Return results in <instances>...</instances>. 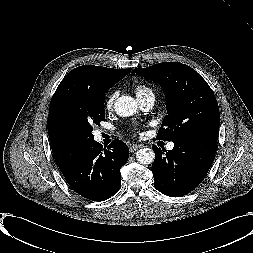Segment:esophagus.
<instances>
[{
  "label": "esophagus",
  "instance_id": "34e87169",
  "mask_svg": "<svg viewBox=\"0 0 253 253\" xmlns=\"http://www.w3.org/2000/svg\"><path fill=\"white\" fill-rule=\"evenodd\" d=\"M139 148H140L139 145L132 144V145H130L129 150H130L131 153H133V152H135L136 150H138Z\"/></svg>",
  "mask_w": 253,
  "mask_h": 253
}]
</instances>
